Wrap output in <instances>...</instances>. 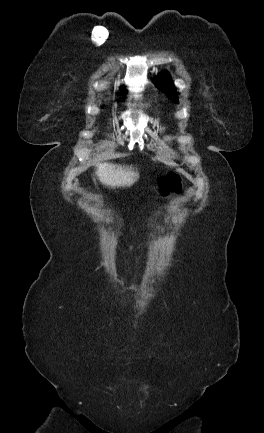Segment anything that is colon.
<instances>
[{
  "label": "colon",
  "instance_id": "colon-1",
  "mask_svg": "<svg viewBox=\"0 0 264 433\" xmlns=\"http://www.w3.org/2000/svg\"><path fill=\"white\" fill-rule=\"evenodd\" d=\"M159 183L162 193L165 194L170 191H179L180 189L179 177L173 172H168L166 175L162 176Z\"/></svg>",
  "mask_w": 264,
  "mask_h": 433
}]
</instances>
